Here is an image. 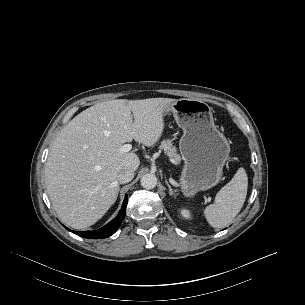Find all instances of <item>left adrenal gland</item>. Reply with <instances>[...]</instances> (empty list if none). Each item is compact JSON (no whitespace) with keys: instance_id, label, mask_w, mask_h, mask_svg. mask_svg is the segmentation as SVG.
Masks as SVG:
<instances>
[{"instance_id":"a2214340","label":"left adrenal gland","mask_w":305,"mask_h":305,"mask_svg":"<svg viewBox=\"0 0 305 305\" xmlns=\"http://www.w3.org/2000/svg\"><path fill=\"white\" fill-rule=\"evenodd\" d=\"M166 184H167V186H168V188H169V194H170L171 196H174V197H175L174 191H173V189L171 188V186H170V184L168 183L167 180H166Z\"/></svg>"}]
</instances>
